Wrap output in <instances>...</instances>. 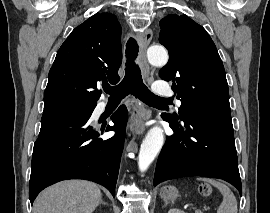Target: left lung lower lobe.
<instances>
[{
  "instance_id": "1",
  "label": "left lung lower lobe",
  "mask_w": 270,
  "mask_h": 213,
  "mask_svg": "<svg viewBox=\"0 0 270 213\" xmlns=\"http://www.w3.org/2000/svg\"><path fill=\"white\" fill-rule=\"evenodd\" d=\"M174 135L159 155L154 186L188 176L223 179L242 192L231 116L192 114L182 122L163 114Z\"/></svg>"
}]
</instances>
